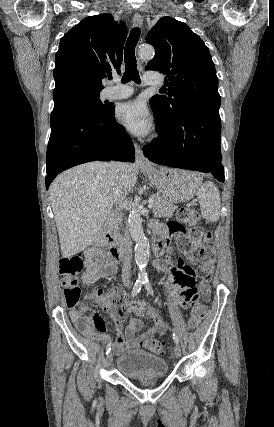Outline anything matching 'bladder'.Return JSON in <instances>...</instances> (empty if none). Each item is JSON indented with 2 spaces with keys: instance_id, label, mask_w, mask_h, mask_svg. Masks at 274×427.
Returning a JSON list of instances; mask_svg holds the SVG:
<instances>
[{
  "instance_id": "31cf9c89",
  "label": "bladder",
  "mask_w": 274,
  "mask_h": 427,
  "mask_svg": "<svg viewBox=\"0 0 274 427\" xmlns=\"http://www.w3.org/2000/svg\"><path fill=\"white\" fill-rule=\"evenodd\" d=\"M115 363L116 372L129 379L167 376L169 372L166 359L143 349L128 350L117 356Z\"/></svg>"
}]
</instances>
